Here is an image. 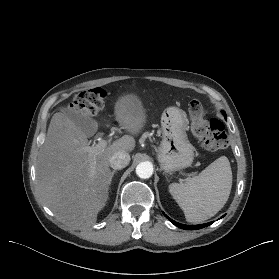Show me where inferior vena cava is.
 I'll return each instance as SVG.
<instances>
[{
  "instance_id": "obj_1",
  "label": "inferior vena cava",
  "mask_w": 279,
  "mask_h": 279,
  "mask_svg": "<svg viewBox=\"0 0 279 279\" xmlns=\"http://www.w3.org/2000/svg\"><path fill=\"white\" fill-rule=\"evenodd\" d=\"M130 162V155L125 151H117L109 158V164L113 169L125 168Z\"/></svg>"
}]
</instances>
